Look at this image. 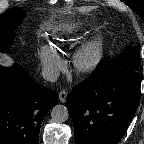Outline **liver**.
Wrapping results in <instances>:
<instances>
[{
    "label": "liver",
    "instance_id": "obj_1",
    "mask_svg": "<svg viewBox=\"0 0 144 144\" xmlns=\"http://www.w3.org/2000/svg\"><path fill=\"white\" fill-rule=\"evenodd\" d=\"M14 63V60L7 54H0V64L3 66H10Z\"/></svg>",
    "mask_w": 144,
    "mask_h": 144
}]
</instances>
